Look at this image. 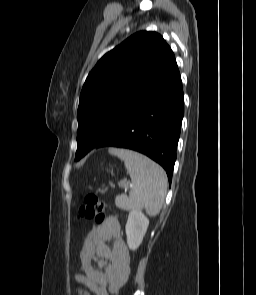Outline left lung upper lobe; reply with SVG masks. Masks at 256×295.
Masks as SVG:
<instances>
[{"instance_id": "5c2ea615", "label": "left lung upper lobe", "mask_w": 256, "mask_h": 295, "mask_svg": "<svg viewBox=\"0 0 256 295\" xmlns=\"http://www.w3.org/2000/svg\"><path fill=\"white\" fill-rule=\"evenodd\" d=\"M177 70L171 48L156 32L135 33L106 53L80 94L75 158L93 149Z\"/></svg>"}]
</instances>
